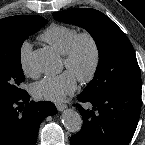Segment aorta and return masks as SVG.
<instances>
[{"mask_svg":"<svg viewBox=\"0 0 145 145\" xmlns=\"http://www.w3.org/2000/svg\"><path fill=\"white\" fill-rule=\"evenodd\" d=\"M35 67L44 73H50L54 70L57 59L54 54L46 49H39L33 53L32 57ZM62 123L69 132H78L83 124L80 113L73 109H66L62 113Z\"/></svg>","mask_w":145,"mask_h":145,"instance_id":"1","label":"aorta"}]
</instances>
